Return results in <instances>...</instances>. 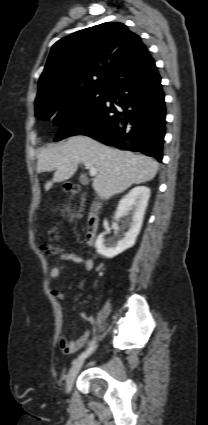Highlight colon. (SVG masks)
<instances>
[{
	"label": "colon",
	"mask_w": 208,
	"mask_h": 425,
	"mask_svg": "<svg viewBox=\"0 0 208 425\" xmlns=\"http://www.w3.org/2000/svg\"><path fill=\"white\" fill-rule=\"evenodd\" d=\"M64 190L71 193H78L79 188L78 186L73 184H66L64 186ZM80 215H81V210L79 209L72 212L71 214L72 218L80 217ZM42 250L47 256H56L59 253V248L51 243H44L42 245Z\"/></svg>",
	"instance_id": "1"
}]
</instances>
